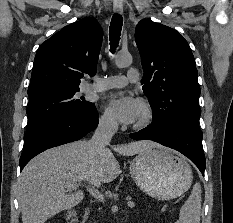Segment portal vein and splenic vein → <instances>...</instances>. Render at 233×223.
<instances>
[{
    "instance_id": "obj_1",
    "label": "portal vein and splenic vein",
    "mask_w": 233,
    "mask_h": 223,
    "mask_svg": "<svg viewBox=\"0 0 233 223\" xmlns=\"http://www.w3.org/2000/svg\"><path fill=\"white\" fill-rule=\"evenodd\" d=\"M71 187H77V185H75V183H72ZM91 195H93L95 199H99V201H104L103 193H100V191H97V189H94V191H91ZM127 206L134 207L133 201H127Z\"/></svg>"
}]
</instances>
